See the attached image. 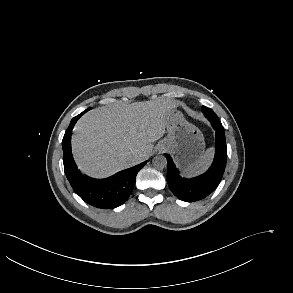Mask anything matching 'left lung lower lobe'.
Returning <instances> with one entry per match:
<instances>
[{
    "instance_id": "1",
    "label": "left lung lower lobe",
    "mask_w": 293,
    "mask_h": 293,
    "mask_svg": "<svg viewBox=\"0 0 293 293\" xmlns=\"http://www.w3.org/2000/svg\"><path fill=\"white\" fill-rule=\"evenodd\" d=\"M211 125L216 130L215 157L204 174L191 179L182 178L171 157L166 155L168 162L166 179L169 188L183 201L194 202L205 198L216 189L222 179L227 160L225 131L220 121H213Z\"/></svg>"
}]
</instances>
